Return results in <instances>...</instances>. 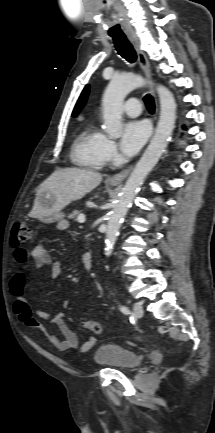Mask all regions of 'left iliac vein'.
<instances>
[{"label": "left iliac vein", "mask_w": 215, "mask_h": 433, "mask_svg": "<svg viewBox=\"0 0 215 433\" xmlns=\"http://www.w3.org/2000/svg\"><path fill=\"white\" fill-rule=\"evenodd\" d=\"M133 310L136 317L140 318L143 316V307L141 303L135 302L133 304Z\"/></svg>", "instance_id": "4c4485c4"}]
</instances>
